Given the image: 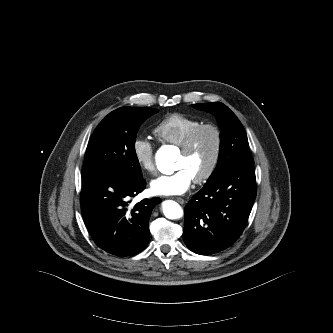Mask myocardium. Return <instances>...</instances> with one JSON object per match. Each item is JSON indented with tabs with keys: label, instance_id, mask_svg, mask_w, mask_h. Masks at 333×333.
<instances>
[{
	"label": "myocardium",
	"instance_id": "1",
	"mask_svg": "<svg viewBox=\"0 0 333 333\" xmlns=\"http://www.w3.org/2000/svg\"><path fill=\"white\" fill-rule=\"evenodd\" d=\"M205 130L212 131V133L214 135V138H215L214 150H213L211 160H210L207 168L205 169V171L193 179V181L197 184L206 182L214 174V172L218 166V163L220 160V155H221V149H222L221 130L219 129V127H217L216 125L211 124V123L201 124L198 127H196L195 129H193L188 134L185 141L180 146L181 153L189 154L193 150L195 143L197 141V138Z\"/></svg>",
	"mask_w": 333,
	"mask_h": 333
}]
</instances>
